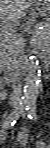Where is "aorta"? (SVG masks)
Instances as JSON below:
<instances>
[{
  "label": "aorta",
  "mask_w": 50,
  "mask_h": 148,
  "mask_svg": "<svg viewBox=\"0 0 50 148\" xmlns=\"http://www.w3.org/2000/svg\"><path fill=\"white\" fill-rule=\"evenodd\" d=\"M40 77L41 73L39 63L36 61L34 56H30L26 84L24 86V94L22 97V103L24 105L31 104L36 101Z\"/></svg>",
  "instance_id": "1"
}]
</instances>
